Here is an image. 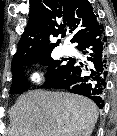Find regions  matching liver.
<instances>
[{
	"mask_svg": "<svg viewBox=\"0 0 117 136\" xmlns=\"http://www.w3.org/2000/svg\"><path fill=\"white\" fill-rule=\"evenodd\" d=\"M9 115V136H90L98 109L83 96L33 90L17 99Z\"/></svg>",
	"mask_w": 117,
	"mask_h": 136,
	"instance_id": "6515ba94",
	"label": "liver"
}]
</instances>
